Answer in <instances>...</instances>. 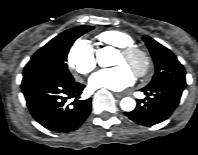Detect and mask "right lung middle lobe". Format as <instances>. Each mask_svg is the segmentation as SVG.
<instances>
[{
	"mask_svg": "<svg viewBox=\"0 0 198 155\" xmlns=\"http://www.w3.org/2000/svg\"><path fill=\"white\" fill-rule=\"evenodd\" d=\"M93 26H78L59 34L40 48L24 68L23 76L40 74L64 81L74 80L67 69V56L74 41Z\"/></svg>",
	"mask_w": 198,
	"mask_h": 155,
	"instance_id": "1",
	"label": "right lung middle lobe"
}]
</instances>
